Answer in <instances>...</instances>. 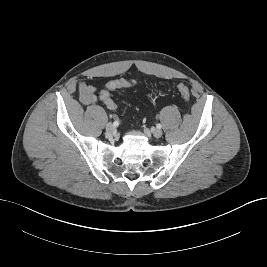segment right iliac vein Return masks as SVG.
Returning <instances> with one entry per match:
<instances>
[{
	"instance_id": "1",
	"label": "right iliac vein",
	"mask_w": 267,
	"mask_h": 267,
	"mask_svg": "<svg viewBox=\"0 0 267 267\" xmlns=\"http://www.w3.org/2000/svg\"><path fill=\"white\" fill-rule=\"evenodd\" d=\"M114 130H115V127H114V125L112 123H108L106 125V132L108 134H112L114 132Z\"/></svg>"
}]
</instances>
